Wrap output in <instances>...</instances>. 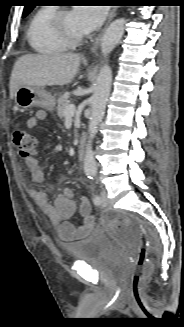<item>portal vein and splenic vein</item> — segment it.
I'll return each mask as SVG.
<instances>
[{
  "mask_svg": "<svg viewBox=\"0 0 184 327\" xmlns=\"http://www.w3.org/2000/svg\"><path fill=\"white\" fill-rule=\"evenodd\" d=\"M75 113V105L74 104H69L65 108V116L66 117H72Z\"/></svg>",
  "mask_w": 184,
  "mask_h": 327,
  "instance_id": "18ae733b",
  "label": "portal vein and splenic vein"
}]
</instances>
